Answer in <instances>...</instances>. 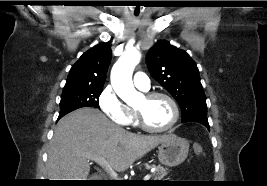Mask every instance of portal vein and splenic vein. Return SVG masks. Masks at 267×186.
<instances>
[{"label":"portal vein and splenic vein","instance_id":"1","mask_svg":"<svg viewBox=\"0 0 267 186\" xmlns=\"http://www.w3.org/2000/svg\"><path fill=\"white\" fill-rule=\"evenodd\" d=\"M89 160L97 162L114 180H118V174L114 171V169L107 163V161L103 157H88ZM151 177L150 174L144 176V181L149 180Z\"/></svg>","mask_w":267,"mask_h":186}]
</instances>
